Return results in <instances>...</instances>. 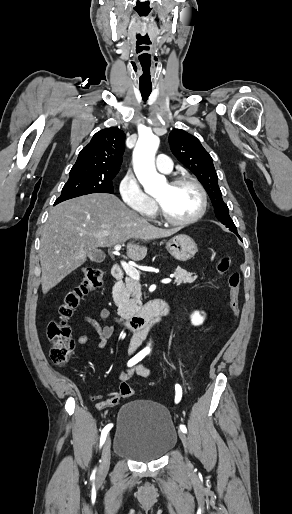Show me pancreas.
Masks as SVG:
<instances>
[{"instance_id": "cf45deb5", "label": "pancreas", "mask_w": 292, "mask_h": 514, "mask_svg": "<svg viewBox=\"0 0 292 514\" xmlns=\"http://www.w3.org/2000/svg\"><path fill=\"white\" fill-rule=\"evenodd\" d=\"M174 276L176 284H187V282L192 284L197 278L182 268H176ZM116 286L118 290L114 296V302L118 306V314L128 320L134 316L135 312H138L137 308L141 306V286L138 280H133V278H125L124 286H120V284H116Z\"/></svg>"}]
</instances>
